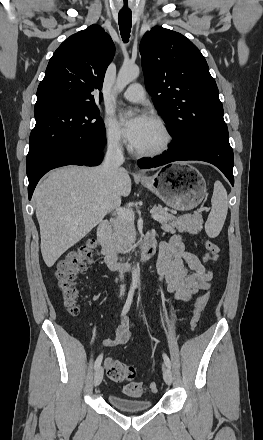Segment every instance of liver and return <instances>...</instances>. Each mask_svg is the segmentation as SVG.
Returning a JSON list of instances; mask_svg holds the SVG:
<instances>
[{"mask_svg":"<svg viewBox=\"0 0 263 440\" xmlns=\"http://www.w3.org/2000/svg\"><path fill=\"white\" fill-rule=\"evenodd\" d=\"M117 192L127 197L131 178L123 169L116 183ZM112 184L103 165L68 166L50 172L35 189L33 200L40 226L41 253L52 267L59 257L98 225L113 206Z\"/></svg>","mask_w":263,"mask_h":440,"instance_id":"obj_1","label":"liver"}]
</instances>
